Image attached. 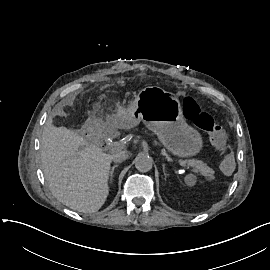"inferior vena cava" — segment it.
I'll return each mask as SVG.
<instances>
[{
	"label": "inferior vena cava",
	"instance_id": "1",
	"mask_svg": "<svg viewBox=\"0 0 270 270\" xmlns=\"http://www.w3.org/2000/svg\"><path fill=\"white\" fill-rule=\"evenodd\" d=\"M128 158H129V154L127 153L126 150H123L119 153L113 154L111 159L114 163H119L124 160H127Z\"/></svg>",
	"mask_w": 270,
	"mask_h": 270
}]
</instances>
